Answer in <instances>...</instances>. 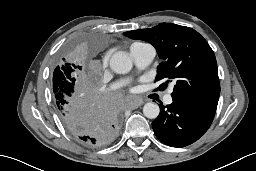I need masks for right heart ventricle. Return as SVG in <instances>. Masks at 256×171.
Masks as SVG:
<instances>
[{
    "instance_id": "1",
    "label": "right heart ventricle",
    "mask_w": 256,
    "mask_h": 171,
    "mask_svg": "<svg viewBox=\"0 0 256 171\" xmlns=\"http://www.w3.org/2000/svg\"><path fill=\"white\" fill-rule=\"evenodd\" d=\"M138 44H143V43L136 42V43H134L132 46H134V45H138ZM132 46H131V47H132Z\"/></svg>"
}]
</instances>
